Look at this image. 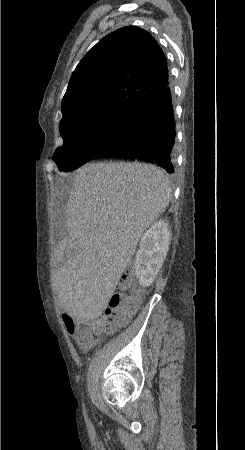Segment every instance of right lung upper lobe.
Returning <instances> with one entry per match:
<instances>
[{
    "instance_id": "right-lung-upper-lobe-1",
    "label": "right lung upper lobe",
    "mask_w": 245,
    "mask_h": 450,
    "mask_svg": "<svg viewBox=\"0 0 245 450\" xmlns=\"http://www.w3.org/2000/svg\"><path fill=\"white\" fill-rule=\"evenodd\" d=\"M167 61L156 40L136 26L120 28L99 41L72 73L63 117L104 103L137 109L168 84Z\"/></svg>"
}]
</instances>
